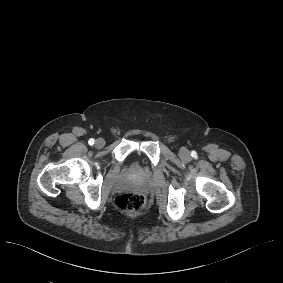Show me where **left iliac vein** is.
Returning a JSON list of instances; mask_svg holds the SVG:
<instances>
[{
  "label": "left iliac vein",
  "instance_id": "4c4485c4",
  "mask_svg": "<svg viewBox=\"0 0 283 283\" xmlns=\"http://www.w3.org/2000/svg\"><path fill=\"white\" fill-rule=\"evenodd\" d=\"M180 157L186 161H190L191 159L189 151L184 148L180 150Z\"/></svg>",
  "mask_w": 283,
  "mask_h": 283
}]
</instances>
